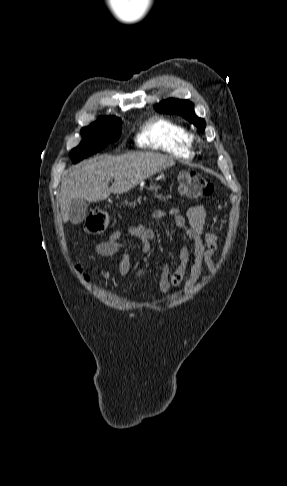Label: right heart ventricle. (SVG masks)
Masks as SVG:
<instances>
[{"instance_id": "1", "label": "right heart ventricle", "mask_w": 287, "mask_h": 486, "mask_svg": "<svg viewBox=\"0 0 287 486\" xmlns=\"http://www.w3.org/2000/svg\"><path fill=\"white\" fill-rule=\"evenodd\" d=\"M141 147L160 150L187 158L193 155L192 139L187 128L173 120L157 118L149 121L137 135Z\"/></svg>"}]
</instances>
